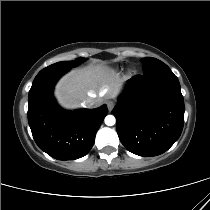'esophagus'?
I'll return each mask as SVG.
<instances>
[{"label": "esophagus", "instance_id": "1", "mask_svg": "<svg viewBox=\"0 0 210 210\" xmlns=\"http://www.w3.org/2000/svg\"><path fill=\"white\" fill-rule=\"evenodd\" d=\"M115 106V102L112 100L107 101V107L109 109V111H111Z\"/></svg>", "mask_w": 210, "mask_h": 210}]
</instances>
